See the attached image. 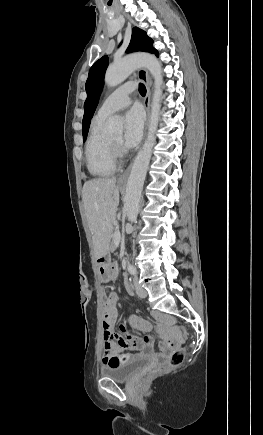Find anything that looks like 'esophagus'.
Segmentation results:
<instances>
[{
    "instance_id": "34e87169",
    "label": "esophagus",
    "mask_w": 263,
    "mask_h": 435,
    "mask_svg": "<svg viewBox=\"0 0 263 435\" xmlns=\"http://www.w3.org/2000/svg\"><path fill=\"white\" fill-rule=\"evenodd\" d=\"M137 76L143 81V83L145 84L146 87V95L144 98V105L147 111V123L149 121V117H150V104H151V78L148 74V71L144 68H141L137 71ZM132 168V162L129 164V166L127 167V169L120 175L119 177V181H125L127 180L130 171Z\"/></svg>"
}]
</instances>
